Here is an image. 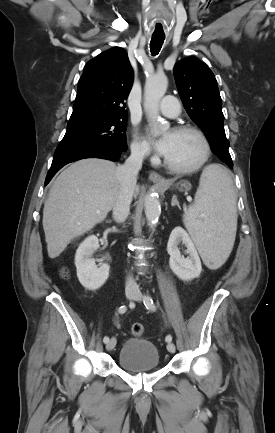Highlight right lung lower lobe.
I'll use <instances>...</instances> for the list:
<instances>
[{
  "instance_id": "1",
  "label": "right lung lower lobe",
  "mask_w": 275,
  "mask_h": 433,
  "mask_svg": "<svg viewBox=\"0 0 275 433\" xmlns=\"http://www.w3.org/2000/svg\"><path fill=\"white\" fill-rule=\"evenodd\" d=\"M127 150V149H126ZM117 147L104 146L87 149L63 150L55 152L51 168L47 174L45 185H47L52 177L66 164L84 159V158H102L111 161H117L123 151Z\"/></svg>"
}]
</instances>
